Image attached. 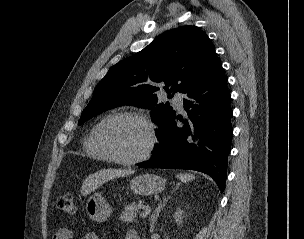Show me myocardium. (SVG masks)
<instances>
[{"label":"myocardium","instance_id":"obj_1","mask_svg":"<svg viewBox=\"0 0 304 239\" xmlns=\"http://www.w3.org/2000/svg\"><path fill=\"white\" fill-rule=\"evenodd\" d=\"M125 118H132L143 122L147 126L150 134L149 143L146 149L140 155L132 158H123L117 155L108 146L104 138L105 130L111 123ZM157 141H158L157 130L154 123L150 120L148 116H146L141 112H136V111H122L109 115L101 122L96 132V143L98 147L101 149V151L108 157L110 161L121 165H134L145 161L151 156L152 152L155 149Z\"/></svg>","mask_w":304,"mask_h":239}]
</instances>
